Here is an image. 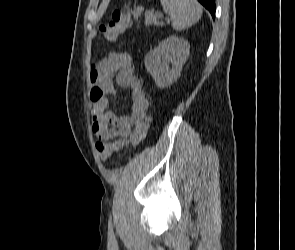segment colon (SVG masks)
Listing matches in <instances>:
<instances>
[{"mask_svg":"<svg viewBox=\"0 0 295 250\" xmlns=\"http://www.w3.org/2000/svg\"><path fill=\"white\" fill-rule=\"evenodd\" d=\"M138 9L113 12L110 21L99 26V31L106 41H114L120 35L124 34L131 25L133 18L138 14ZM149 128V118L135 126L133 145L139 144L146 136ZM122 148L120 142H97L96 150L102 161H106L112 154Z\"/></svg>","mask_w":295,"mask_h":250,"instance_id":"5ec220e1","label":"colon"}]
</instances>
